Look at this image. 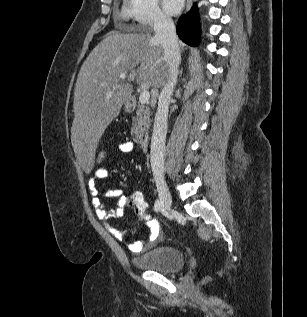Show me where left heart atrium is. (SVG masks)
Masks as SVG:
<instances>
[{
  "mask_svg": "<svg viewBox=\"0 0 307 317\" xmlns=\"http://www.w3.org/2000/svg\"><path fill=\"white\" fill-rule=\"evenodd\" d=\"M162 5L167 13L173 15L182 9L184 0H162Z\"/></svg>",
  "mask_w": 307,
  "mask_h": 317,
  "instance_id": "obj_1",
  "label": "left heart atrium"
}]
</instances>
